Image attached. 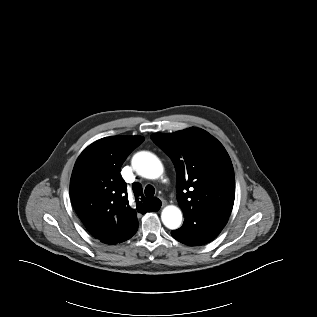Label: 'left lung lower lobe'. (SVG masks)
Here are the masks:
<instances>
[{
	"instance_id": "left-lung-lower-lobe-1",
	"label": "left lung lower lobe",
	"mask_w": 317,
	"mask_h": 317,
	"mask_svg": "<svg viewBox=\"0 0 317 317\" xmlns=\"http://www.w3.org/2000/svg\"><path fill=\"white\" fill-rule=\"evenodd\" d=\"M228 221V217L217 214L198 213L185 218L183 226L173 230L171 235L189 246L204 245L215 239Z\"/></svg>"
}]
</instances>
